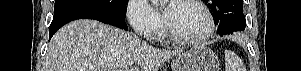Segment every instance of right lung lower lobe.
<instances>
[{
	"mask_svg": "<svg viewBox=\"0 0 301 71\" xmlns=\"http://www.w3.org/2000/svg\"><path fill=\"white\" fill-rule=\"evenodd\" d=\"M77 19H94L106 24L128 30V27L121 17L100 9L77 8L54 14L49 30V39L54 33L66 23Z\"/></svg>",
	"mask_w": 301,
	"mask_h": 71,
	"instance_id": "1",
	"label": "right lung lower lobe"
}]
</instances>
